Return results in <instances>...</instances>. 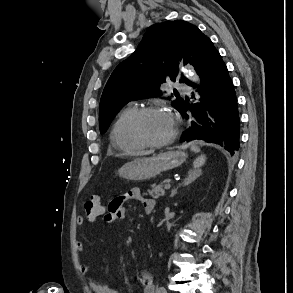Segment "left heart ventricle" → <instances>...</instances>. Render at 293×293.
Returning <instances> with one entry per match:
<instances>
[{
	"label": "left heart ventricle",
	"mask_w": 293,
	"mask_h": 293,
	"mask_svg": "<svg viewBox=\"0 0 293 293\" xmlns=\"http://www.w3.org/2000/svg\"><path fill=\"white\" fill-rule=\"evenodd\" d=\"M172 130L171 117L162 111L148 114L141 123L143 136L151 142H158L168 138Z\"/></svg>",
	"instance_id": "obj_1"
}]
</instances>
